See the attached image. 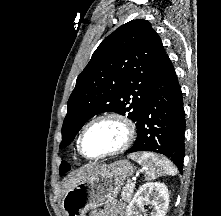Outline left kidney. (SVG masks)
Wrapping results in <instances>:
<instances>
[{
  "mask_svg": "<svg viewBox=\"0 0 221 216\" xmlns=\"http://www.w3.org/2000/svg\"><path fill=\"white\" fill-rule=\"evenodd\" d=\"M145 204L153 206L151 216H165L169 206V193L166 185L160 182L143 184L129 203L127 216H142L139 215L138 210L143 208Z\"/></svg>",
  "mask_w": 221,
  "mask_h": 216,
  "instance_id": "5707ae66",
  "label": "left kidney"
}]
</instances>
